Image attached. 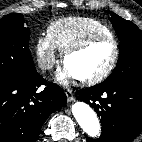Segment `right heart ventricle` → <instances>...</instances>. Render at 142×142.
I'll return each instance as SVG.
<instances>
[{"instance_id":"right-heart-ventricle-1","label":"right heart ventricle","mask_w":142,"mask_h":142,"mask_svg":"<svg viewBox=\"0 0 142 142\" xmlns=\"http://www.w3.org/2000/svg\"><path fill=\"white\" fill-rule=\"evenodd\" d=\"M93 34L110 35L112 33L102 22L82 16L57 19L51 22L47 28V36L60 52Z\"/></svg>"}]
</instances>
